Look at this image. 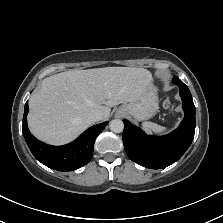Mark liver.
<instances>
[{
    "label": "liver",
    "mask_w": 223,
    "mask_h": 223,
    "mask_svg": "<svg viewBox=\"0 0 223 223\" xmlns=\"http://www.w3.org/2000/svg\"><path fill=\"white\" fill-rule=\"evenodd\" d=\"M153 78L134 67L71 70L45 78L29 99V131L51 146L73 142L94 124L89 113L98 109L103 120L111 107L139 98Z\"/></svg>",
    "instance_id": "1"
}]
</instances>
